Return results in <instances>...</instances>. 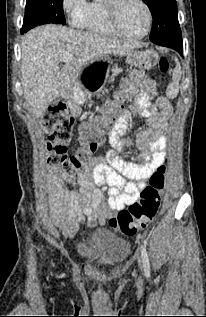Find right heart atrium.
I'll return each mask as SVG.
<instances>
[{
	"label": "right heart atrium",
	"mask_w": 206,
	"mask_h": 317,
	"mask_svg": "<svg viewBox=\"0 0 206 317\" xmlns=\"http://www.w3.org/2000/svg\"><path fill=\"white\" fill-rule=\"evenodd\" d=\"M88 4L87 0H62V8L72 26H83L87 16Z\"/></svg>",
	"instance_id": "right-heart-atrium-1"
}]
</instances>
